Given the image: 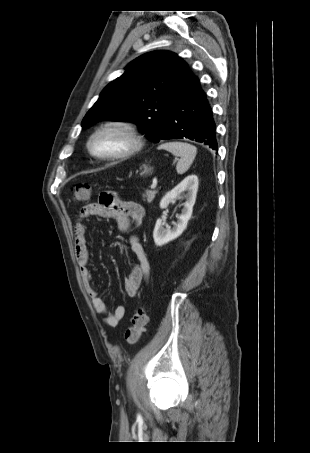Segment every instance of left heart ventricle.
Listing matches in <instances>:
<instances>
[{"label":"left heart ventricle","mask_w":310,"mask_h":453,"mask_svg":"<svg viewBox=\"0 0 310 453\" xmlns=\"http://www.w3.org/2000/svg\"><path fill=\"white\" fill-rule=\"evenodd\" d=\"M128 145L126 138L114 131L104 133L93 140L92 146L99 154H110L124 149Z\"/></svg>","instance_id":"b2bd125f"}]
</instances>
